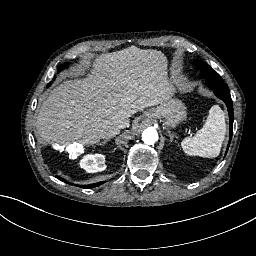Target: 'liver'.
Wrapping results in <instances>:
<instances>
[{
	"instance_id": "liver-1",
	"label": "liver",
	"mask_w": 256,
	"mask_h": 256,
	"mask_svg": "<svg viewBox=\"0 0 256 256\" xmlns=\"http://www.w3.org/2000/svg\"><path fill=\"white\" fill-rule=\"evenodd\" d=\"M167 66L161 51L136 46L101 54L92 74L64 81L42 103L40 137L52 144L92 145L109 130L126 128L132 115L172 96Z\"/></svg>"
}]
</instances>
